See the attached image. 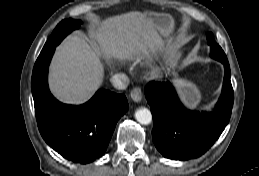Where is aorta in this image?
Here are the masks:
<instances>
[{"label":"aorta","mask_w":259,"mask_h":176,"mask_svg":"<svg viewBox=\"0 0 259 176\" xmlns=\"http://www.w3.org/2000/svg\"><path fill=\"white\" fill-rule=\"evenodd\" d=\"M136 120L143 125H148L152 122V114L147 108H140L135 112Z\"/></svg>","instance_id":"aorta-1"}]
</instances>
